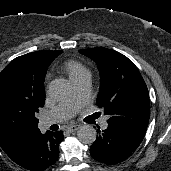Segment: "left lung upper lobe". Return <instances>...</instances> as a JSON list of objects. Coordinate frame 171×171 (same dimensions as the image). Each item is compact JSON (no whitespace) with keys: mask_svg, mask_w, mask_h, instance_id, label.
Masks as SVG:
<instances>
[{"mask_svg":"<svg viewBox=\"0 0 171 171\" xmlns=\"http://www.w3.org/2000/svg\"><path fill=\"white\" fill-rule=\"evenodd\" d=\"M79 52L94 60L100 72L97 106L108 114V124L144 137L149 122L147 86L131 60L121 53L103 48Z\"/></svg>","mask_w":171,"mask_h":171,"instance_id":"1","label":"left lung upper lobe"}]
</instances>
